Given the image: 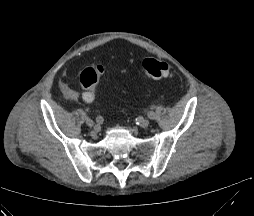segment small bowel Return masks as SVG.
<instances>
[{
	"label": "small bowel",
	"mask_w": 254,
	"mask_h": 216,
	"mask_svg": "<svg viewBox=\"0 0 254 216\" xmlns=\"http://www.w3.org/2000/svg\"><path fill=\"white\" fill-rule=\"evenodd\" d=\"M60 88L64 94V96L72 101H77L79 100L81 97L85 100V101H92L93 98L90 97L88 92H84L82 95L73 87H71L66 81L62 80L60 82Z\"/></svg>",
	"instance_id": "1"
}]
</instances>
